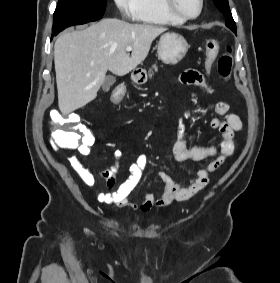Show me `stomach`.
Returning <instances> with one entry per match:
<instances>
[{"instance_id": "1", "label": "stomach", "mask_w": 280, "mask_h": 283, "mask_svg": "<svg viewBox=\"0 0 280 283\" xmlns=\"http://www.w3.org/2000/svg\"><path fill=\"white\" fill-rule=\"evenodd\" d=\"M189 45L186 39L176 32H167L160 37L158 42V58L165 64L175 65L186 55ZM144 73L132 76L134 82L143 81Z\"/></svg>"}]
</instances>
